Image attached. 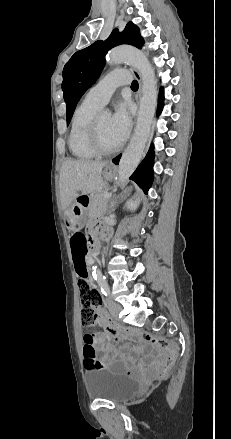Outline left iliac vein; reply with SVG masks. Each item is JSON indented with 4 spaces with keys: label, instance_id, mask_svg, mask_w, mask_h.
I'll list each match as a JSON object with an SVG mask.
<instances>
[{
    "label": "left iliac vein",
    "instance_id": "1",
    "mask_svg": "<svg viewBox=\"0 0 231 439\" xmlns=\"http://www.w3.org/2000/svg\"><path fill=\"white\" fill-rule=\"evenodd\" d=\"M106 303L108 305V309L109 312L111 313V315L115 318L118 319V314L121 310V306L117 303H115L113 300H111L110 298L106 299Z\"/></svg>",
    "mask_w": 231,
    "mask_h": 439
}]
</instances>
